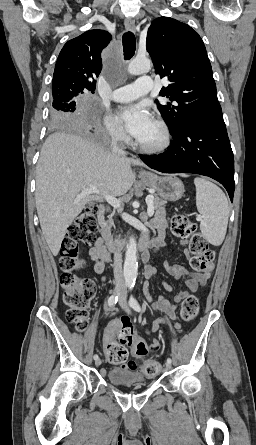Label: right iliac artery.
<instances>
[{
	"label": "right iliac artery",
	"instance_id": "82829eb1",
	"mask_svg": "<svg viewBox=\"0 0 256 445\" xmlns=\"http://www.w3.org/2000/svg\"><path fill=\"white\" fill-rule=\"evenodd\" d=\"M117 301H118V296H116V295H112V296H110L109 299H108V305H109L110 307H114L115 304L117 303ZM93 358H94V360H97L99 357H98L97 354H95Z\"/></svg>",
	"mask_w": 256,
	"mask_h": 445
}]
</instances>
